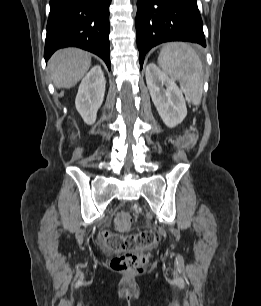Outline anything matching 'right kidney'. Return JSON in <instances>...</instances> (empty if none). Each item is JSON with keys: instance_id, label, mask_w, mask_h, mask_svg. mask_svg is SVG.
Segmentation results:
<instances>
[{"instance_id": "right-kidney-1", "label": "right kidney", "mask_w": 261, "mask_h": 306, "mask_svg": "<svg viewBox=\"0 0 261 306\" xmlns=\"http://www.w3.org/2000/svg\"><path fill=\"white\" fill-rule=\"evenodd\" d=\"M105 77L101 66L93 67L83 78L75 100L77 111L87 124L96 121V114L105 94Z\"/></svg>"}]
</instances>
